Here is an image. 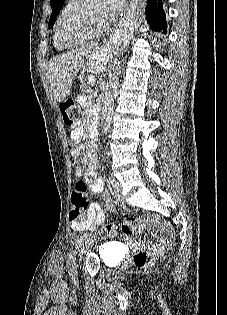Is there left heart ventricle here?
<instances>
[{
    "mask_svg": "<svg viewBox=\"0 0 227 315\" xmlns=\"http://www.w3.org/2000/svg\"><path fill=\"white\" fill-rule=\"evenodd\" d=\"M106 25L98 0H90L80 14L64 29L66 36L72 39L81 37L84 33H93Z\"/></svg>",
    "mask_w": 227,
    "mask_h": 315,
    "instance_id": "1",
    "label": "left heart ventricle"
}]
</instances>
